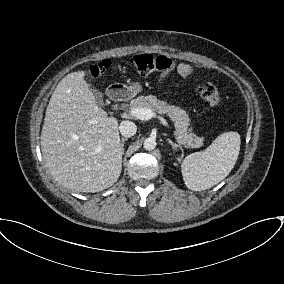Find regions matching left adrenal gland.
Masks as SVG:
<instances>
[{
	"label": "left adrenal gland",
	"instance_id": "left-adrenal-gland-1",
	"mask_svg": "<svg viewBox=\"0 0 284 284\" xmlns=\"http://www.w3.org/2000/svg\"><path fill=\"white\" fill-rule=\"evenodd\" d=\"M168 142L172 146L173 150H176L177 148H179L181 151H183V148L180 144H177V143L171 141L170 139H168Z\"/></svg>",
	"mask_w": 284,
	"mask_h": 284
}]
</instances>
